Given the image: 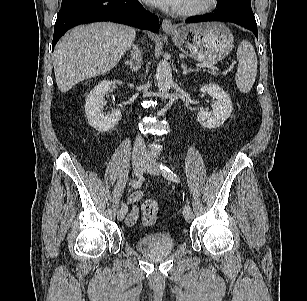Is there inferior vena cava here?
<instances>
[{
  "label": "inferior vena cava",
  "instance_id": "602c4592",
  "mask_svg": "<svg viewBox=\"0 0 307 301\" xmlns=\"http://www.w3.org/2000/svg\"><path fill=\"white\" fill-rule=\"evenodd\" d=\"M136 57V60L140 63L142 60L141 57V53L138 51V49H136L135 54H134V58ZM147 95V91H144V96ZM146 150V146L144 143L143 138L138 135L136 137L135 143H134V147H133V154L134 155H139V154H143Z\"/></svg>",
  "mask_w": 307,
  "mask_h": 301
}]
</instances>
